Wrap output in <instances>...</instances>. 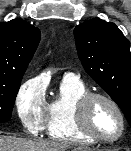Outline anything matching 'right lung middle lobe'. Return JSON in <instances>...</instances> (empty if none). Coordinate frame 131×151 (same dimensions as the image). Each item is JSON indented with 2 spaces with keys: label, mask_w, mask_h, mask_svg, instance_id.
<instances>
[{
  "label": "right lung middle lobe",
  "mask_w": 131,
  "mask_h": 151,
  "mask_svg": "<svg viewBox=\"0 0 131 151\" xmlns=\"http://www.w3.org/2000/svg\"><path fill=\"white\" fill-rule=\"evenodd\" d=\"M22 76H0V123L10 120L16 95L20 88Z\"/></svg>",
  "instance_id": "1"
}]
</instances>
